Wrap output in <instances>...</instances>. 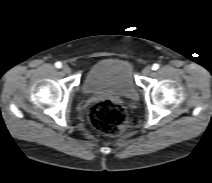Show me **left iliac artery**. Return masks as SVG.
Masks as SVG:
<instances>
[{
	"label": "left iliac artery",
	"instance_id": "obj_1",
	"mask_svg": "<svg viewBox=\"0 0 212 183\" xmlns=\"http://www.w3.org/2000/svg\"><path fill=\"white\" fill-rule=\"evenodd\" d=\"M159 68V64H153L152 69L157 70Z\"/></svg>",
	"mask_w": 212,
	"mask_h": 183
}]
</instances>
